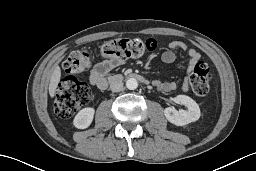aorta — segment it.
I'll use <instances>...</instances> for the list:
<instances>
[{
	"mask_svg": "<svg viewBox=\"0 0 256 171\" xmlns=\"http://www.w3.org/2000/svg\"><path fill=\"white\" fill-rule=\"evenodd\" d=\"M126 87L129 90H135L138 87V82L135 78H129L126 80Z\"/></svg>",
	"mask_w": 256,
	"mask_h": 171,
	"instance_id": "762f6f07",
	"label": "aorta"
}]
</instances>
